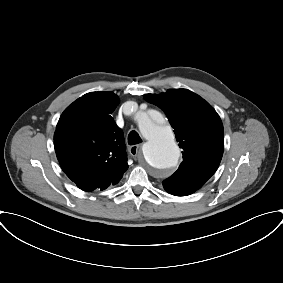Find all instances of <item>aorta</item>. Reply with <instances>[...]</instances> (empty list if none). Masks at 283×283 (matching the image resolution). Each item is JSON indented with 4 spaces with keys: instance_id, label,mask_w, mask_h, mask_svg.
I'll return each mask as SVG.
<instances>
[{
    "instance_id": "obj_1",
    "label": "aorta",
    "mask_w": 283,
    "mask_h": 283,
    "mask_svg": "<svg viewBox=\"0 0 283 283\" xmlns=\"http://www.w3.org/2000/svg\"><path fill=\"white\" fill-rule=\"evenodd\" d=\"M136 122L141 134L146 139L142 150L149 166L158 172L175 168L180 150L172 129L163 124L162 115L151 111L148 115H139Z\"/></svg>"
}]
</instances>
